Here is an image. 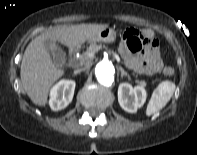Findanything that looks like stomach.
<instances>
[{"mask_svg": "<svg viewBox=\"0 0 197 155\" xmlns=\"http://www.w3.org/2000/svg\"><path fill=\"white\" fill-rule=\"evenodd\" d=\"M116 36L117 34L113 29L104 28L99 31L95 36H93L89 41L110 43L115 41Z\"/></svg>", "mask_w": 197, "mask_h": 155, "instance_id": "1", "label": "stomach"}]
</instances>
